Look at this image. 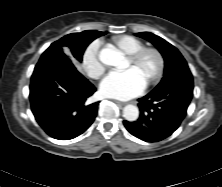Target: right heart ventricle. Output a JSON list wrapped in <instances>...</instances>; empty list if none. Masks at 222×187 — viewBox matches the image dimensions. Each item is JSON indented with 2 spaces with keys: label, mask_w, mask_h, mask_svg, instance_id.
<instances>
[{
  "label": "right heart ventricle",
  "mask_w": 222,
  "mask_h": 187,
  "mask_svg": "<svg viewBox=\"0 0 222 187\" xmlns=\"http://www.w3.org/2000/svg\"><path fill=\"white\" fill-rule=\"evenodd\" d=\"M112 41L116 47L127 55L133 54L144 46V43L140 39L130 35L117 36Z\"/></svg>",
  "instance_id": "obj_1"
}]
</instances>
